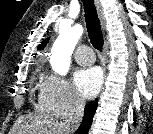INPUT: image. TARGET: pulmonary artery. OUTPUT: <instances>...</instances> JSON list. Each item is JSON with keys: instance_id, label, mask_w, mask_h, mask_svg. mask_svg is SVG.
Returning a JSON list of instances; mask_svg holds the SVG:
<instances>
[{"instance_id": "pulmonary-artery-1", "label": "pulmonary artery", "mask_w": 153, "mask_h": 134, "mask_svg": "<svg viewBox=\"0 0 153 134\" xmlns=\"http://www.w3.org/2000/svg\"><path fill=\"white\" fill-rule=\"evenodd\" d=\"M75 59L81 65H91L95 61L92 50L86 45H81L76 49Z\"/></svg>"}]
</instances>
